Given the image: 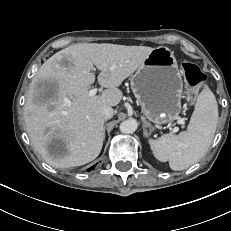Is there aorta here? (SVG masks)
I'll use <instances>...</instances> for the list:
<instances>
[{
	"instance_id": "obj_1",
	"label": "aorta",
	"mask_w": 231,
	"mask_h": 231,
	"mask_svg": "<svg viewBox=\"0 0 231 231\" xmlns=\"http://www.w3.org/2000/svg\"><path fill=\"white\" fill-rule=\"evenodd\" d=\"M137 127L138 123L136 120L128 119L120 124L119 129L124 134H132L136 131Z\"/></svg>"
}]
</instances>
